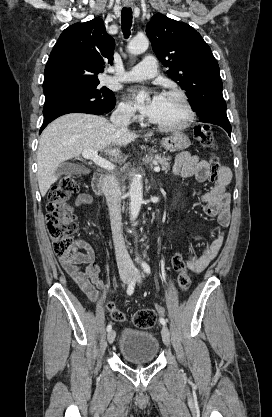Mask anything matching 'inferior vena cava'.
<instances>
[{"mask_svg":"<svg viewBox=\"0 0 272 417\" xmlns=\"http://www.w3.org/2000/svg\"><path fill=\"white\" fill-rule=\"evenodd\" d=\"M132 111L126 107L117 108L110 120L115 127L127 130L130 124ZM102 191L106 197L109 208L111 230L115 246V254L120 276H129L133 273L134 264L126 250L121 224V191L114 175L107 174L102 180Z\"/></svg>","mask_w":272,"mask_h":417,"instance_id":"602c4592","label":"inferior vena cava"}]
</instances>
